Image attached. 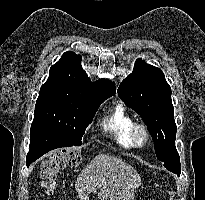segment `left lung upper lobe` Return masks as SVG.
<instances>
[{
  "mask_svg": "<svg viewBox=\"0 0 205 200\" xmlns=\"http://www.w3.org/2000/svg\"><path fill=\"white\" fill-rule=\"evenodd\" d=\"M125 104L134 109L148 126L157 159L176 160V124L171 87L161 69L137 59L133 72L118 88Z\"/></svg>",
  "mask_w": 205,
  "mask_h": 200,
  "instance_id": "1",
  "label": "left lung upper lobe"
}]
</instances>
